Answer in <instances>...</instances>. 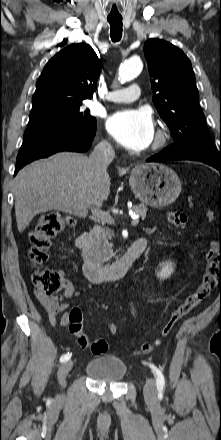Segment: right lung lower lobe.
Segmentation results:
<instances>
[{
  "mask_svg": "<svg viewBox=\"0 0 221 440\" xmlns=\"http://www.w3.org/2000/svg\"><path fill=\"white\" fill-rule=\"evenodd\" d=\"M96 129H69L55 125L28 128L16 159L14 175L26 164L59 151L86 152L91 146Z\"/></svg>",
  "mask_w": 221,
  "mask_h": 440,
  "instance_id": "1",
  "label": "right lung lower lobe"
}]
</instances>
